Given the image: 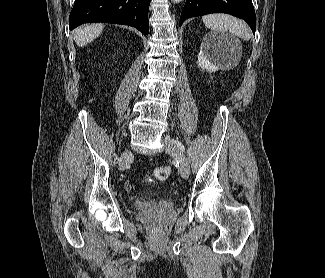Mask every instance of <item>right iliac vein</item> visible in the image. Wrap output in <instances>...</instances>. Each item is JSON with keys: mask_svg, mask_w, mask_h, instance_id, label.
Returning a JSON list of instances; mask_svg holds the SVG:
<instances>
[{"mask_svg": "<svg viewBox=\"0 0 325 278\" xmlns=\"http://www.w3.org/2000/svg\"><path fill=\"white\" fill-rule=\"evenodd\" d=\"M131 156V151L126 149L121 156V170L125 169V165L129 159V157Z\"/></svg>", "mask_w": 325, "mask_h": 278, "instance_id": "obj_1", "label": "right iliac vein"}]
</instances>
